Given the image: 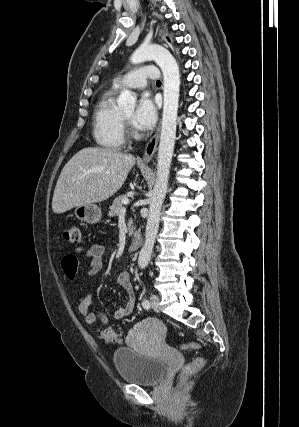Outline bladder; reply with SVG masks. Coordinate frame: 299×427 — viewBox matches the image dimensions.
I'll list each match as a JSON object with an SVG mask.
<instances>
[{"label": "bladder", "instance_id": "31cf9c89", "mask_svg": "<svg viewBox=\"0 0 299 427\" xmlns=\"http://www.w3.org/2000/svg\"><path fill=\"white\" fill-rule=\"evenodd\" d=\"M113 362L120 378L136 385H156L167 373V366L162 360L132 348L116 349Z\"/></svg>", "mask_w": 299, "mask_h": 427}]
</instances>
